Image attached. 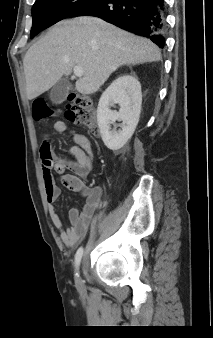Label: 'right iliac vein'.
<instances>
[{
    "mask_svg": "<svg viewBox=\"0 0 213 338\" xmlns=\"http://www.w3.org/2000/svg\"><path fill=\"white\" fill-rule=\"evenodd\" d=\"M76 282H77V285H81V279H80V277H78V278L76 279Z\"/></svg>",
    "mask_w": 213,
    "mask_h": 338,
    "instance_id": "63e3f726",
    "label": "right iliac vein"
}]
</instances>
